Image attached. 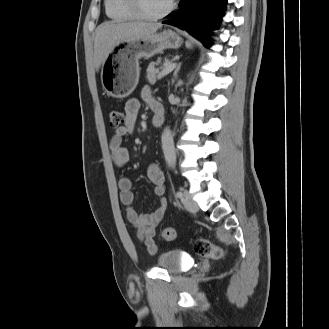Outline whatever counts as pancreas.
<instances>
[{"mask_svg": "<svg viewBox=\"0 0 329 329\" xmlns=\"http://www.w3.org/2000/svg\"><path fill=\"white\" fill-rule=\"evenodd\" d=\"M160 63V61L158 62H152L149 64L148 68H147V80L149 81L150 84H154L156 82V80L159 78V70L155 68L156 65H158ZM165 65L170 64V61L168 59H165L164 61Z\"/></svg>", "mask_w": 329, "mask_h": 329, "instance_id": "obj_1", "label": "pancreas"}]
</instances>
